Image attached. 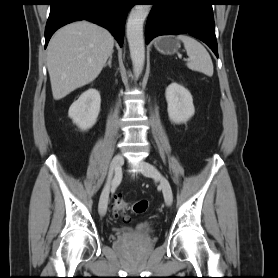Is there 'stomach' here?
<instances>
[{
	"label": "stomach",
	"instance_id": "1",
	"mask_svg": "<svg viewBox=\"0 0 278 278\" xmlns=\"http://www.w3.org/2000/svg\"><path fill=\"white\" fill-rule=\"evenodd\" d=\"M154 46L160 53L171 55L178 51L180 43L175 36H163L155 41Z\"/></svg>",
	"mask_w": 278,
	"mask_h": 278
}]
</instances>
